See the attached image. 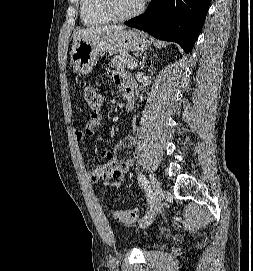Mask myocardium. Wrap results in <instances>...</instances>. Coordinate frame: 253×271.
Masks as SVG:
<instances>
[{"instance_id":"f54148a6","label":"myocardium","mask_w":253,"mask_h":271,"mask_svg":"<svg viewBox=\"0 0 253 271\" xmlns=\"http://www.w3.org/2000/svg\"><path fill=\"white\" fill-rule=\"evenodd\" d=\"M100 1L102 10L113 21H125L140 15L144 11L147 2V0H142L140 4L137 6V8H135L133 11L122 14L118 12L115 5V0H100Z\"/></svg>"}]
</instances>
